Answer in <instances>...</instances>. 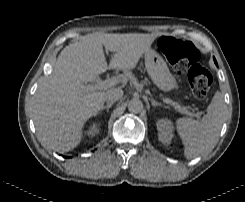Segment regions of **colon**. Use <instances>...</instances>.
Here are the masks:
<instances>
[{
    "label": "colon",
    "instance_id": "1",
    "mask_svg": "<svg viewBox=\"0 0 245 202\" xmlns=\"http://www.w3.org/2000/svg\"><path fill=\"white\" fill-rule=\"evenodd\" d=\"M158 45L178 73H187L192 92L197 97H205L212 85V75L200 66L198 49L190 42L173 36L161 37Z\"/></svg>",
    "mask_w": 245,
    "mask_h": 202
}]
</instances>
